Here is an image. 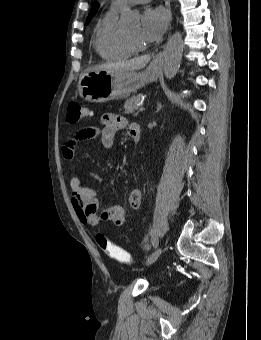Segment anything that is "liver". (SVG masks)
Here are the masks:
<instances>
[{
    "instance_id": "liver-1",
    "label": "liver",
    "mask_w": 261,
    "mask_h": 340,
    "mask_svg": "<svg viewBox=\"0 0 261 340\" xmlns=\"http://www.w3.org/2000/svg\"><path fill=\"white\" fill-rule=\"evenodd\" d=\"M151 57L149 55L137 57L135 59H131L129 61L117 62V63H104L98 66H95L92 70H106V71H134L140 70L144 68Z\"/></svg>"
}]
</instances>
